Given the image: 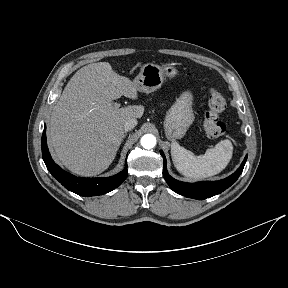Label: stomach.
I'll list each match as a JSON object with an SVG mask.
<instances>
[{"instance_id": "0dacf381", "label": "stomach", "mask_w": 288, "mask_h": 288, "mask_svg": "<svg viewBox=\"0 0 288 288\" xmlns=\"http://www.w3.org/2000/svg\"><path fill=\"white\" fill-rule=\"evenodd\" d=\"M178 70L172 64L157 65L147 63L141 67L140 73L132 81L137 91L151 93L160 88L166 77H175ZM193 94L187 90L180 94L176 102L167 111L164 130L171 140L182 138L194 121L192 109Z\"/></svg>"}]
</instances>
